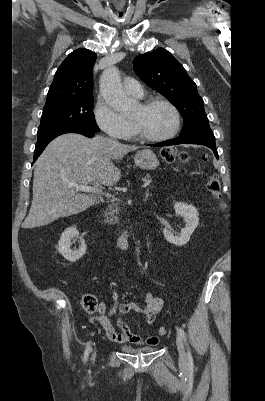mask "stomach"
Listing matches in <instances>:
<instances>
[{"label":"stomach","instance_id":"0dacf381","mask_svg":"<svg viewBox=\"0 0 265 401\" xmlns=\"http://www.w3.org/2000/svg\"><path fill=\"white\" fill-rule=\"evenodd\" d=\"M135 164L140 166V168H147V170H153L157 168L159 160L154 154L153 150L150 148H143V150H138L134 156Z\"/></svg>","mask_w":265,"mask_h":401}]
</instances>
